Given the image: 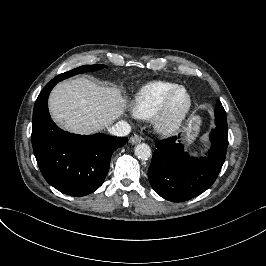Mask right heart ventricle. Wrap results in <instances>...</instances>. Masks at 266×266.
Wrapping results in <instances>:
<instances>
[{"label": "right heart ventricle", "mask_w": 266, "mask_h": 266, "mask_svg": "<svg viewBox=\"0 0 266 266\" xmlns=\"http://www.w3.org/2000/svg\"><path fill=\"white\" fill-rule=\"evenodd\" d=\"M179 85L170 80H155L144 84L132 99L133 115L142 120L152 118L164 98Z\"/></svg>", "instance_id": "e07e8e85"}]
</instances>
